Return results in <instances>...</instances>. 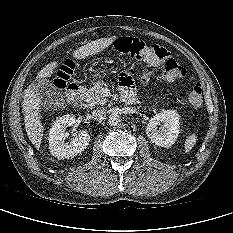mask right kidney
Masks as SVG:
<instances>
[{"label": "right kidney", "instance_id": "1", "mask_svg": "<svg viewBox=\"0 0 233 233\" xmlns=\"http://www.w3.org/2000/svg\"><path fill=\"white\" fill-rule=\"evenodd\" d=\"M75 123L74 115L67 114L56 119L49 131L50 153L60 159H69L82 153L90 142V135L82 130L71 142H65L69 136L66 128Z\"/></svg>", "mask_w": 233, "mask_h": 233}]
</instances>
